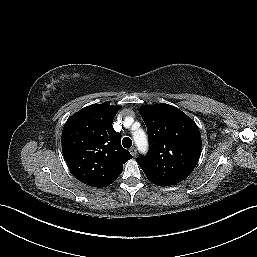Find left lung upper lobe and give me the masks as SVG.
<instances>
[{
    "label": "left lung upper lobe",
    "instance_id": "obj_1",
    "mask_svg": "<svg viewBox=\"0 0 257 257\" xmlns=\"http://www.w3.org/2000/svg\"><path fill=\"white\" fill-rule=\"evenodd\" d=\"M147 126L149 153L137 163L155 185L178 183L194 170L201 154V134L195 122L168 104L140 108Z\"/></svg>",
    "mask_w": 257,
    "mask_h": 257
}]
</instances>
